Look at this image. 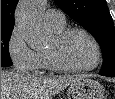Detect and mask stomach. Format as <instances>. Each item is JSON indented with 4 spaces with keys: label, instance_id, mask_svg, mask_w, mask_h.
I'll return each mask as SVG.
<instances>
[{
    "label": "stomach",
    "instance_id": "1",
    "mask_svg": "<svg viewBox=\"0 0 115 99\" xmlns=\"http://www.w3.org/2000/svg\"><path fill=\"white\" fill-rule=\"evenodd\" d=\"M103 86L96 80L82 77L70 84L68 99H103Z\"/></svg>",
    "mask_w": 115,
    "mask_h": 99
}]
</instances>
